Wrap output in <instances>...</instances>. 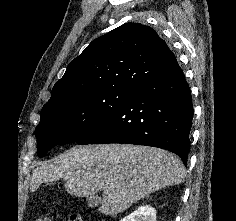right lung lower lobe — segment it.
<instances>
[{
	"instance_id": "obj_1",
	"label": "right lung lower lobe",
	"mask_w": 236,
	"mask_h": 221,
	"mask_svg": "<svg viewBox=\"0 0 236 221\" xmlns=\"http://www.w3.org/2000/svg\"><path fill=\"white\" fill-rule=\"evenodd\" d=\"M193 105L191 91L176 61L135 89V93L77 144L147 145L177 154L185 165Z\"/></svg>"
}]
</instances>
